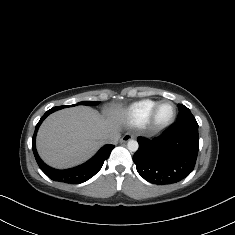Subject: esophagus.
<instances>
[{
  "label": "esophagus",
  "instance_id": "esophagus-1",
  "mask_svg": "<svg viewBox=\"0 0 235 235\" xmlns=\"http://www.w3.org/2000/svg\"><path fill=\"white\" fill-rule=\"evenodd\" d=\"M133 138H135V136H134L133 134H131V133H125V134L123 135V137L120 139V142H121V143H126V142H128L129 140H131V139H133Z\"/></svg>",
  "mask_w": 235,
  "mask_h": 235
}]
</instances>
